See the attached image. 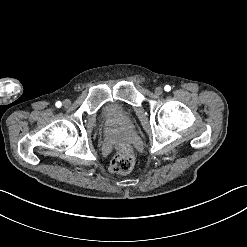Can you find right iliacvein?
Returning <instances> with one entry per match:
<instances>
[{
	"mask_svg": "<svg viewBox=\"0 0 247 247\" xmlns=\"http://www.w3.org/2000/svg\"><path fill=\"white\" fill-rule=\"evenodd\" d=\"M70 104H71V102H70L69 100H64V101H63V105H64L65 107H69Z\"/></svg>",
	"mask_w": 247,
	"mask_h": 247,
	"instance_id": "63e3f726",
	"label": "right iliac vein"
}]
</instances>
